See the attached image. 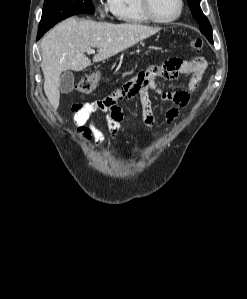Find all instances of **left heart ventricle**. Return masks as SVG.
Returning <instances> with one entry per match:
<instances>
[{
	"label": "left heart ventricle",
	"instance_id": "left-heart-ventricle-1",
	"mask_svg": "<svg viewBox=\"0 0 247 299\" xmlns=\"http://www.w3.org/2000/svg\"><path fill=\"white\" fill-rule=\"evenodd\" d=\"M152 10L160 19H169L178 11L177 0H151Z\"/></svg>",
	"mask_w": 247,
	"mask_h": 299
}]
</instances>
